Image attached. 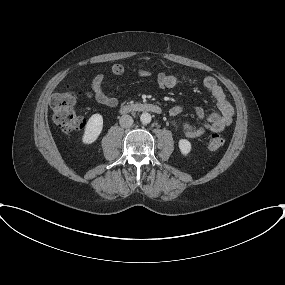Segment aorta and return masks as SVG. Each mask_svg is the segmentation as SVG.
I'll list each match as a JSON object with an SVG mask.
<instances>
[{"instance_id": "obj_1", "label": "aorta", "mask_w": 285, "mask_h": 285, "mask_svg": "<svg viewBox=\"0 0 285 285\" xmlns=\"http://www.w3.org/2000/svg\"><path fill=\"white\" fill-rule=\"evenodd\" d=\"M151 119H152L151 115L149 113H146V112L142 113L140 116V120L143 124L150 123Z\"/></svg>"}]
</instances>
